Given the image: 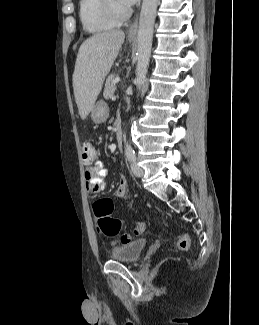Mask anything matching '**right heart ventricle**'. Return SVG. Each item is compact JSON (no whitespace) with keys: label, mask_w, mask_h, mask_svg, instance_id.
<instances>
[{"label":"right heart ventricle","mask_w":259,"mask_h":325,"mask_svg":"<svg viewBox=\"0 0 259 325\" xmlns=\"http://www.w3.org/2000/svg\"><path fill=\"white\" fill-rule=\"evenodd\" d=\"M78 14L82 29L89 34L107 31L116 24L105 15L102 0H79Z\"/></svg>","instance_id":"right-heart-ventricle-1"}]
</instances>
